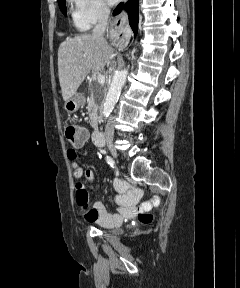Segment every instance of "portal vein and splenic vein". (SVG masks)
Wrapping results in <instances>:
<instances>
[{
  "mask_svg": "<svg viewBox=\"0 0 240 288\" xmlns=\"http://www.w3.org/2000/svg\"><path fill=\"white\" fill-rule=\"evenodd\" d=\"M97 81H98L99 84H104V82H105V76L102 75V74H99V75L97 76Z\"/></svg>",
  "mask_w": 240,
  "mask_h": 288,
  "instance_id": "obj_1",
  "label": "portal vein and splenic vein"
}]
</instances>
